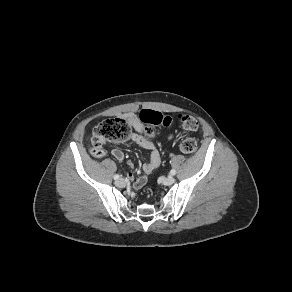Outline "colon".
Segmentation results:
<instances>
[{
    "mask_svg": "<svg viewBox=\"0 0 292 292\" xmlns=\"http://www.w3.org/2000/svg\"><path fill=\"white\" fill-rule=\"evenodd\" d=\"M140 120L144 124L146 135L153 137L154 126L163 124L169 125L170 118L164 117L162 114L152 111L143 110L140 113ZM182 127L187 131H195L198 128L196 119L192 116L185 115L180 117ZM131 126L126 119L115 118L107 119L99 123L94 129L92 136L91 154L100 157L103 154L102 144L106 141L124 142L130 138ZM199 140L196 137H188L184 139L180 145L182 152L192 154L198 150Z\"/></svg>",
    "mask_w": 292,
    "mask_h": 292,
    "instance_id": "1",
    "label": "colon"
}]
</instances>
